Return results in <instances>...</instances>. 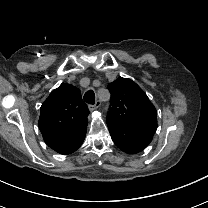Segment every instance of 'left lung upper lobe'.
I'll return each mask as SVG.
<instances>
[{
    "mask_svg": "<svg viewBox=\"0 0 208 208\" xmlns=\"http://www.w3.org/2000/svg\"><path fill=\"white\" fill-rule=\"evenodd\" d=\"M111 107L109 122L137 129L150 142L157 129V112L146 93L131 79L119 77L108 85Z\"/></svg>",
    "mask_w": 208,
    "mask_h": 208,
    "instance_id": "left-lung-upper-lobe-1",
    "label": "left lung upper lobe"
}]
</instances>
